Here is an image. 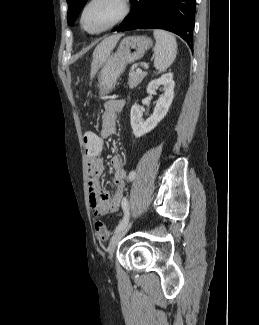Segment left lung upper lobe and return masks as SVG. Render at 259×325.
<instances>
[{
    "instance_id": "5c2ea615",
    "label": "left lung upper lobe",
    "mask_w": 259,
    "mask_h": 325,
    "mask_svg": "<svg viewBox=\"0 0 259 325\" xmlns=\"http://www.w3.org/2000/svg\"><path fill=\"white\" fill-rule=\"evenodd\" d=\"M87 0H67L68 3V24L73 25L81 9Z\"/></svg>"
}]
</instances>
